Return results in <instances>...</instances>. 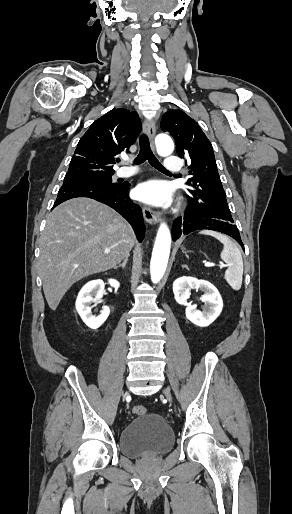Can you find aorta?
Masks as SVG:
<instances>
[{"mask_svg":"<svg viewBox=\"0 0 292 514\" xmlns=\"http://www.w3.org/2000/svg\"><path fill=\"white\" fill-rule=\"evenodd\" d=\"M157 154L159 156H170L174 150L173 140L166 134H159L156 138ZM171 246V236L166 224H161L156 236L155 246L152 252L150 274L154 284L160 282L167 268Z\"/></svg>","mask_w":292,"mask_h":514,"instance_id":"762f6f07","label":"aorta"}]
</instances>
